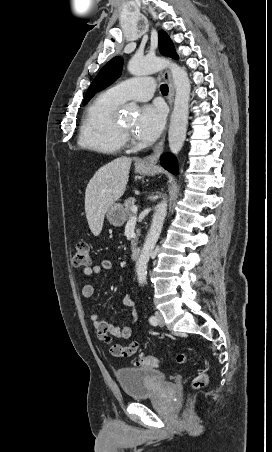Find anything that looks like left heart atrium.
Masks as SVG:
<instances>
[{"instance_id": "obj_1", "label": "left heart atrium", "mask_w": 272, "mask_h": 452, "mask_svg": "<svg viewBox=\"0 0 272 452\" xmlns=\"http://www.w3.org/2000/svg\"><path fill=\"white\" fill-rule=\"evenodd\" d=\"M165 124V111L159 105H146L141 109L135 126V135L143 141H152L158 137Z\"/></svg>"}]
</instances>
